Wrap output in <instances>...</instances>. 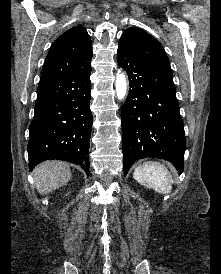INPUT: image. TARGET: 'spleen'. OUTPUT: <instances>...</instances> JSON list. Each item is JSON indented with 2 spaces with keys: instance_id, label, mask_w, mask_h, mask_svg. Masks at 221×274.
I'll return each mask as SVG.
<instances>
[{
  "instance_id": "1",
  "label": "spleen",
  "mask_w": 221,
  "mask_h": 274,
  "mask_svg": "<svg viewBox=\"0 0 221 274\" xmlns=\"http://www.w3.org/2000/svg\"><path fill=\"white\" fill-rule=\"evenodd\" d=\"M133 177L141 185L158 193L169 194L171 192L173 179L168 169L160 163L145 162L135 168Z\"/></svg>"
}]
</instances>
